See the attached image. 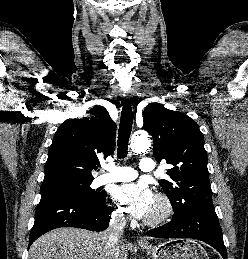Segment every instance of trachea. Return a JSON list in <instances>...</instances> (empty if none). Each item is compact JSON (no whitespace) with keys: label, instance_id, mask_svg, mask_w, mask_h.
Returning <instances> with one entry per match:
<instances>
[{"label":"trachea","instance_id":"obj_1","mask_svg":"<svg viewBox=\"0 0 248 259\" xmlns=\"http://www.w3.org/2000/svg\"><path fill=\"white\" fill-rule=\"evenodd\" d=\"M133 116L129 102H125L121 112V119L118 132V158L123 159L128 153V142L132 130Z\"/></svg>","mask_w":248,"mask_h":259}]
</instances>
